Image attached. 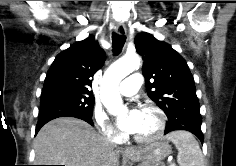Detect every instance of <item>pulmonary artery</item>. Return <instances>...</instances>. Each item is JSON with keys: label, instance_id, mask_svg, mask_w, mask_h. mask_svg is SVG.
<instances>
[{"label": "pulmonary artery", "instance_id": "e3ab8cb5", "mask_svg": "<svg viewBox=\"0 0 236 166\" xmlns=\"http://www.w3.org/2000/svg\"><path fill=\"white\" fill-rule=\"evenodd\" d=\"M142 85V75L139 72L131 74L125 79L119 87V92L122 96H132Z\"/></svg>", "mask_w": 236, "mask_h": 166}]
</instances>
